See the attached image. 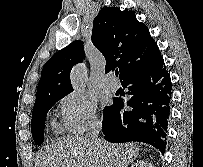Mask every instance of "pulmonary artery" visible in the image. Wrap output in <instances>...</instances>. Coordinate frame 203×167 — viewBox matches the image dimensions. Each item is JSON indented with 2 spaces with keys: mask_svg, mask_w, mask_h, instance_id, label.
Listing matches in <instances>:
<instances>
[{
  "mask_svg": "<svg viewBox=\"0 0 203 167\" xmlns=\"http://www.w3.org/2000/svg\"><path fill=\"white\" fill-rule=\"evenodd\" d=\"M104 87L111 92H115L118 89V83L112 75H109L105 79Z\"/></svg>",
  "mask_w": 203,
  "mask_h": 167,
  "instance_id": "pulmonary-artery-1",
  "label": "pulmonary artery"
}]
</instances>
